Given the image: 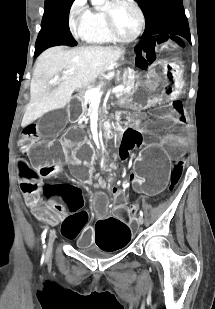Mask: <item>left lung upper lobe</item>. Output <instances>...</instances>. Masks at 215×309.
Segmentation results:
<instances>
[{"instance_id": "5c2ea615", "label": "left lung upper lobe", "mask_w": 215, "mask_h": 309, "mask_svg": "<svg viewBox=\"0 0 215 309\" xmlns=\"http://www.w3.org/2000/svg\"><path fill=\"white\" fill-rule=\"evenodd\" d=\"M146 19L147 37L155 34H177L191 43L188 21L182 0H137Z\"/></svg>"}]
</instances>
